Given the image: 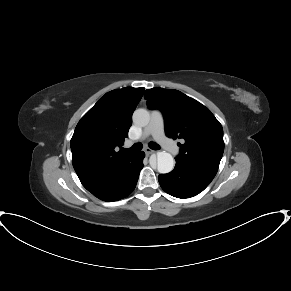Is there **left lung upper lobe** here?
<instances>
[{
	"label": "left lung upper lobe",
	"mask_w": 291,
	"mask_h": 291,
	"mask_svg": "<svg viewBox=\"0 0 291 291\" xmlns=\"http://www.w3.org/2000/svg\"><path fill=\"white\" fill-rule=\"evenodd\" d=\"M150 109H160L166 135L182 139L180 160L195 166L218 170L224 151L223 128L211 111L178 90L153 88L145 91Z\"/></svg>",
	"instance_id": "obj_1"
}]
</instances>
